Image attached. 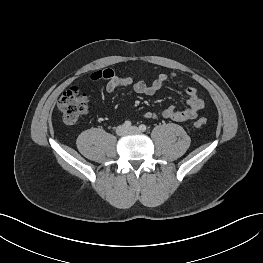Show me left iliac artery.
<instances>
[{
	"instance_id": "1",
	"label": "left iliac artery",
	"mask_w": 263,
	"mask_h": 263,
	"mask_svg": "<svg viewBox=\"0 0 263 263\" xmlns=\"http://www.w3.org/2000/svg\"><path fill=\"white\" fill-rule=\"evenodd\" d=\"M139 129H140V131L144 132V131H146L147 127H146V125L141 124V125L139 126Z\"/></svg>"
}]
</instances>
